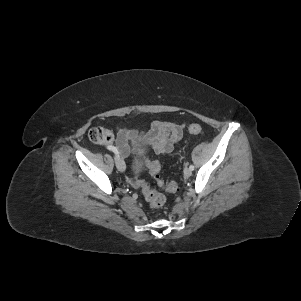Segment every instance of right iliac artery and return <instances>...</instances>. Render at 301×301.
Masks as SVG:
<instances>
[{"mask_svg":"<svg viewBox=\"0 0 301 301\" xmlns=\"http://www.w3.org/2000/svg\"><path fill=\"white\" fill-rule=\"evenodd\" d=\"M109 150H111V151H113L115 154H116V156H118L119 157V152H118V150L115 148V147H113V146H108L107 147Z\"/></svg>","mask_w":301,"mask_h":301,"instance_id":"82829eb1","label":"right iliac artery"}]
</instances>
